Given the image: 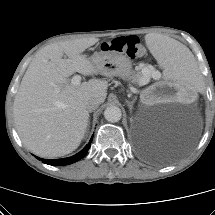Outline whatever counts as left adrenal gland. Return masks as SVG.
I'll use <instances>...</instances> for the list:
<instances>
[{"label": "left adrenal gland", "instance_id": "1", "mask_svg": "<svg viewBox=\"0 0 215 215\" xmlns=\"http://www.w3.org/2000/svg\"><path fill=\"white\" fill-rule=\"evenodd\" d=\"M134 100L133 101H128V100H126V103H127V105H128V107H129V110H130V112H132V108H133V104H134Z\"/></svg>", "mask_w": 215, "mask_h": 215}]
</instances>
